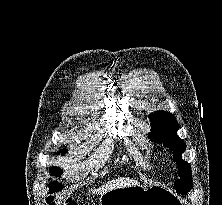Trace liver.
<instances>
[{"label": "liver", "instance_id": "1", "mask_svg": "<svg viewBox=\"0 0 222 205\" xmlns=\"http://www.w3.org/2000/svg\"><path fill=\"white\" fill-rule=\"evenodd\" d=\"M135 184H138L137 181L129 179V178L114 179V180L108 182L107 184L95 189L94 193L101 195L107 191H110V190H113L116 188L135 185Z\"/></svg>", "mask_w": 222, "mask_h": 205}]
</instances>
